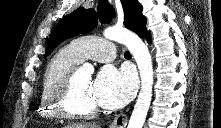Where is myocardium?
Returning a JSON list of instances; mask_svg holds the SVG:
<instances>
[{
	"label": "myocardium",
	"mask_w": 221,
	"mask_h": 128,
	"mask_svg": "<svg viewBox=\"0 0 221 128\" xmlns=\"http://www.w3.org/2000/svg\"><path fill=\"white\" fill-rule=\"evenodd\" d=\"M76 75L77 68H74L52 93L50 97L51 106L60 116L67 119L92 118L98 114V107L79 109L71 103Z\"/></svg>",
	"instance_id": "obj_1"
}]
</instances>
